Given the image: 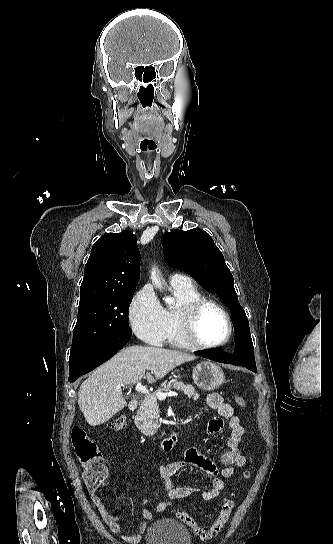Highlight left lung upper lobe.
Returning a JSON list of instances; mask_svg holds the SVG:
<instances>
[{
  "label": "left lung upper lobe",
  "mask_w": 333,
  "mask_h": 544,
  "mask_svg": "<svg viewBox=\"0 0 333 544\" xmlns=\"http://www.w3.org/2000/svg\"><path fill=\"white\" fill-rule=\"evenodd\" d=\"M167 264L187 271L208 291L217 293L231 308V319L248 324L244 309L238 302L233 276L211 236L202 229L174 230L161 239ZM250 334V332H249ZM246 356L254 359L253 347Z\"/></svg>",
  "instance_id": "left-lung-upper-lobe-1"
}]
</instances>
